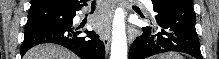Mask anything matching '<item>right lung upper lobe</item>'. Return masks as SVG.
Returning a JSON list of instances; mask_svg holds the SVG:
<instances>
[{"label": "right lung upper lobe", "mask_w": 219, "mask_h": 59, "mask_svg": "<svg viewBox=\"0 0 219 59\" xmlns=\"http://www.w3.org/2000/svg\"><path fill=\"white\" fill-rule=\"evenodd\" d=\"M79 2L80 1L78 0H31L30 11L42 10L46 8H52V9L72 8Z\"/></svg>", "instance_id": "right-lung-upper-lobe-1"}]
</instances>
